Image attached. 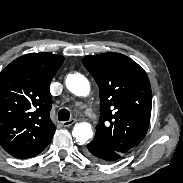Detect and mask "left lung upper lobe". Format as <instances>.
<instances>
[{"label":"left lung upper lobe","mask_w":183,"mask_h":183,"mask_svg":"<svg viewBox=\"0 0 183 183\" xmlns=\"http://www.w3.org/2000/svg\"><path fill=\"white\" fill-rule=\"evenodd\" d=\"M83 65L95 79L100 93V144L127 154L146 135L150 123L152 93L146 72L120 53L86 56Z\"/></svg>","instance_id":"5c2ea615"}]
</instances>
